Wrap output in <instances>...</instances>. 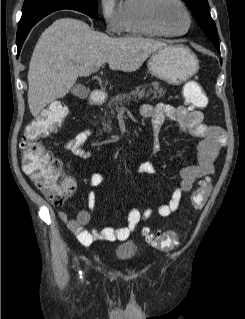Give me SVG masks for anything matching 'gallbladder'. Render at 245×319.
Listing matches in <instances>:
<instances>
[{
	"label": "gallbladder",
	"instance_id": "1",
	"mask_svg": "<svg viewBox=\"0 0 245 319\" xmlns=\"http://www.w3.org/2000/svg\"><path fill=\"white\" fill-rule=\"evenodd\" d=\"M72 93L75 96H78L80 98L85 97L88 95V90L86 89V87L82 84H77L72 88Z\"/></svg>",
	"mask_w": 245,
	"mask_h": 319
}]
</instances>
